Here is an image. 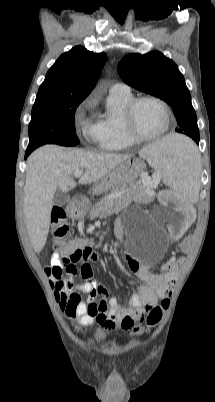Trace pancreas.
I'll list each match as a JSON object with an SVG mask.
<instances>
[{
    "instance_id": "obj_1",
    "label": "pancreas",
    "mask_w": 215,
    "mask_h": 402,
    "mask_svg": "<svg viewBox=\"0 0 215 402\" xmlns=\"http://www.w3.org/2000/svg\"><path fill=\"white\" fill-rule=\"evenodd\" d=\"M152 185L132 183L128 186L113 189L111 193L91 207L89 212L90 219L106 217L118 213L131 204L136 192H146L152 189Z\"/></svg>"
}]
</instances>
